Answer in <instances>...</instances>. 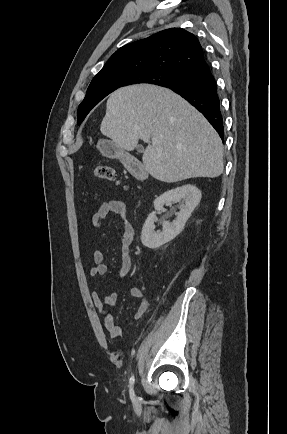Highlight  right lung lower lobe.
<instances>
[{
	"label": "right lung lower lobe",
	"instance_id": "obj_1",
	"mask_svg": "<svg viewBox=\"0 0 287 434\" xmlns=\"http://www.w3.org/2000/svg\"><path fill=\"white\" fill-rule=\"evenodd\" d=\"M199 110L223 139L224 126L217 84L208 62L194 66L168 86Z\"/></svg>",
	"mask_w": 287,
	"mask_h": 434
}]
</instances>
